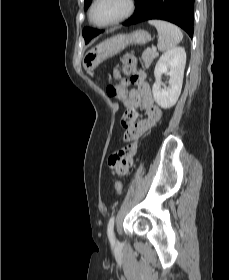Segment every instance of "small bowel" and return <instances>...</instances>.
<instances>
[{"label": "small bowel", "mask_w": 229, "mask_h": 280, "mask_svg": "<svg viewBox=\"0 0 229 280\" xmlns=\"http://www.w3.org/2000/svg\"><path fill=\"white\" fill-rule=\"evenodd\" d=\"M114 74L117 78L120 77L118 69ZM128 84V81H123L120 86H108L107 93L128 107L125 115L131 117V123L124 133V139L136 140L161 119L162 109L155 103L151 87L146 80L141 79L136 83V88L130 91L127 90ZM140 114H144L145 118L138 120Z\"/></svg>", "instance_id": "obj_1"}]
</instances>
